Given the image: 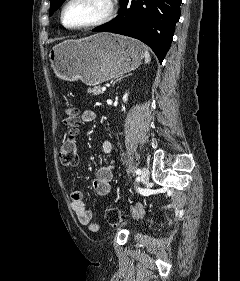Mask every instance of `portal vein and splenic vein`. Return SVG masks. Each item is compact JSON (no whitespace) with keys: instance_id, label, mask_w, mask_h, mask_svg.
Here are the masks:
<instances>
[{"instance_id":"1","label":"portal vein and splenic vein","mask_w":240,"mask_h":281,"mask_svg":"<svg viewBox=\"0 0 240 281\" xmlns=\"http://www.w3.org/2000/svg\"><path fill=\"white\" fill-rule=\"evenodd\" d=\"M106 89H107V87L104 86V87H102L101 90L104 92V91H106Z\"/></svg>"}]
</instances>
